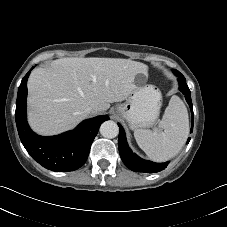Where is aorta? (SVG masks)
I'll return each instance as SVG.
<instances>
[{"label": "aorta", "instance_id": "aorta-1", "mask_svg": "<svg viewBox=\"0 0 227 227\" xmlns=\"http://www.w3.org/2000/svg\"><path fill=\"white\" fill-rule=\"evenodd\" d=\"M119 128L114 121H105L100 127V133L105 138H115L118 135Z\"/></svg>", "mask_w": 227, "mask_h": 227}]
</instances>
